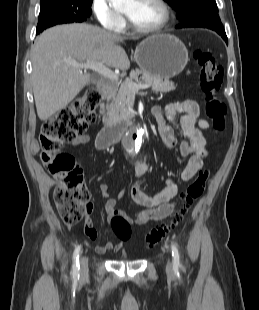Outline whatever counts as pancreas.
I'll list each match as a JSON object with an SVG mask.
<instances>
[{
  "label": "pancreas",
  "instance_id": "cf45deb5",
  "mask_svg": "<svg viewBox=\"0 0 259 310\" xmlns=\"http://www.w3.org/2000/svg\"><path fill=\"white\" fill-rule=\"evenodd\" d=\"M142 75V80L151 86L152 91L159 93H167L175 90V84L168 79H161L151 76L143 71L136 70L130 73V78L120 87L116 83H112V92L106 95L107 101H111L106 112H103V122L106 124H116L120 122H129L131 113L127 109V103L131 91L127 87L128 82L132 80L138 81V76Z\"/></svg>",
  "mask_w": 259,
  "mask_h": 310
}]
</instances>
